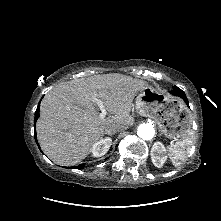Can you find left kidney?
<instances>
[{
	"label": "left kidney",
	"mask_w": 221,
	"mask_h": 221,
	"mask_svg": "<svg viewBox=\"0 0 221 221\" xmlns=\"http://www.w3.org/2000/svg\"><path fill=\"white\" fill-rule=\"evenodd\" d=\"M150 155L154 166L158 168H161L167 160L166 148L161 142L154 143Z\"/></svg>",
	"instance_id": "5707ae66"
}]
</instances>
